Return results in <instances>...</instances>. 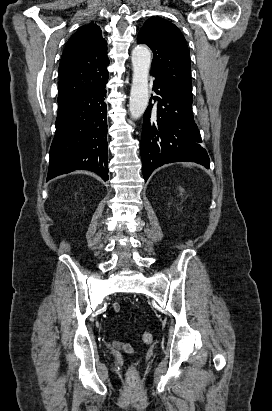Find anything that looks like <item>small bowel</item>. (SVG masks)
Instances as JSON below:
<instances>
[{
	"label": "small bowel",
	"mask_w": 272,
	"mask_h": 411,
	"mask_svg": "<svg viewBox=\"0 0 272 411\" xmlns=\"http://www.w3.org/2000/svg\"><path fill=\"white\" fill-rule=\"evenodd\" d=\"M112 309H113L115 312H118V311L120 310L119 304L114 303V304L112 305ZM111 348H112V350H114V351L123 350V351L128 352V353H130V352L133 351V348H132V346H131L129 343L122 342V341H117V340H115V341H113V342L111 343Z\"/></svg>",
	"instance_id": "c3829d8e"
}]
</instances>
